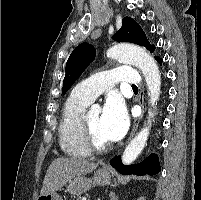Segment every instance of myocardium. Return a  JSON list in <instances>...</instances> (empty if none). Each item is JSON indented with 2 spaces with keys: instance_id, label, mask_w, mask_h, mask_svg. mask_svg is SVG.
<instances>
[{
  "instance_id": "obj_1",
  "label": "myocardium",
  "mask_w": 201,
  "mask_h": 200,
  "mask_svg": "<svg viewBox=\"0 0 201 200\" xmlns=\"http://www.w3.org/2000/svg\"><path fill=\"white\" fill-rule=\"evenodd\" d=\"M80 131L82 143L90 153H102L110 148V143L101 144L94 139L85 116L81 118Z\"/></svg>"
}]
</instances>
